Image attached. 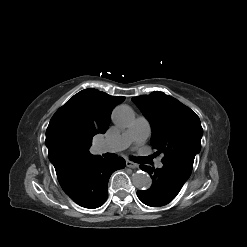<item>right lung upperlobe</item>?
<instances>
[{
  "label": "right lung upper lobe",
  "mask_w": 247,
  "mask_h": 247,
  "mask_svg": "<svg viewBox=\"0 0 247 247\" xmlns=\"http://www.w3.org/2000/svg\"><path fill=\"white\" fill-rule=\"evenodd\" d=\"M124 99L89 88L71 97L54 114L45 143L57 175L101 158L89 152L92 138L106 132L113 108Z\"/></svg>",
  "instance_id": "obj_1"
}]
</instances>
